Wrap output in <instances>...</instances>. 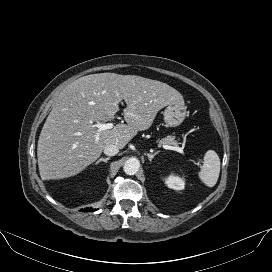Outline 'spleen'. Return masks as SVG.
Instances as JSON below:
<instances>
[{"mask_svg":"<svg viewBox=\"0 0 272 272\" xmlns=\"http://www.w3.org/2000/svg\"><path fill=\"white\" fill-rule=\"evenodd\" d=\"M220 173V159L214 150H208L204 155V162L199 172V178L208 187H213Z\"/></svg>","mask_w":272,"mask_h":272,"instance_id":"spleen-1","label":"spleen"}]
</instances>
